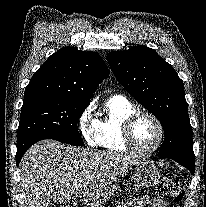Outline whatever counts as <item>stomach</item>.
I'll return each mask as SVG.
<instances>
[{
	"label": "stomach",
	"mask_w": 206,
	"mask_h": 207,
	"mask_svg": "<svg viewBox=\"0 0 206 207\" xmlns=\"http://www.w3.org/2000/svg\"><path fill=\"white\" fill-rule=\"evenodd\" d=\"M160 176V172L156 168L155 164L150 161H137L134 166V178L138 186L141 188L149 189L157 186L160 182ZM114 190L115 186H112L108 190L107 196H110Z\"/></svg>",
	"instance_id": "1"
}]
</instances>
